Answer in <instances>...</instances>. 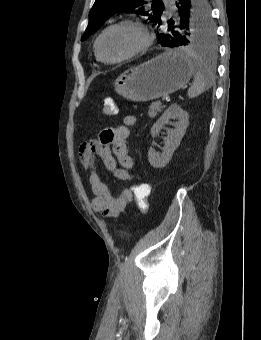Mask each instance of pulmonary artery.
<instances>
[{
	"mask_svg": "<svg viewBox=\"0 0 261 340\" xmlns=\"http://www.w3.org/2000/svg\"><path fill=\"white\" fill-rule=\"evenodd\" d=\"M165 4H166V7L170 9L173 5V0H165Z\"/></svg>",
	"mask_w": 261,
	"mask_h": 340,
	"instance_id": "1",
	"label": "pulmonary artery"
}]
</instances>
